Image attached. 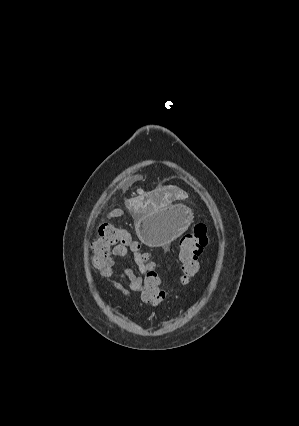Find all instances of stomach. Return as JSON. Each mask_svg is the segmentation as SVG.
Masks as SVG:
<instances>
[{
	"mask_svg": "<svg viewBox=\"0 0 299 426\" xmlns=\"http://www.w3.org/2000/svg\"><path fill=\"white\" fill-rule=\"evenodd\" d=\"M191 208L173 204L153 208L134 221L135 231L149 247H165L181 236L193 222Z\"/></svg>",
	"mask_w": 299,
	"mask_h": 426,
	"instance_id": "0dacf381",
	"label": "stomach"
}]
</instances>
